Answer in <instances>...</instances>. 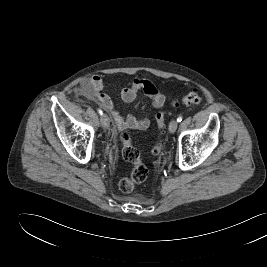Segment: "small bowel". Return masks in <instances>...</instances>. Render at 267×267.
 <instances>
[{
	"mask_svg": "<svg viewBox=\"0 0 267 267\" xmlns=\"http://www.w3.org/2000/svg\"><path fill=\"white\" fill-rule=\"evenodd\" d=\"M104 82L99 76H93L81 82L80 91L88 98L94 99L105 110L111 113L119 131L125 129L146 130L150 126L147 117L137 118L133 115L122 116L116 103L104 92ZM143 92L151 101L153 108H161L165 103V96L159 88L147 79L136 78L121 90V98L125 103L133 102L137 94Z\"/></svg>",
	"mask_w": 267,
	"mask_h": 267,
	"instance_id": "1",
	"label": "small bowel"
}]
</instances>
